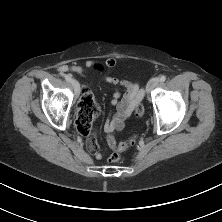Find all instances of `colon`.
Masks as SVG:
<instances>
[{
	"instance_id": "1",
	"label": "colon",
	"mask_w": 222,
	"mask_h": 222,
	"mask_svg": "<svg viewBox=\"0 0 222 222\" xmlns=\"http://www.w3.org/2000/svg\"><path fill=\"white\" fill-rule=\"evenodd\" d=\"M99 106L94 98L93 93L84 89L79 102V109L76 118V128L79 133L83 135L88 134V129L91 126L93 120L99 115ZM136 116L141 117L144 114V107L139 104L135 111ZM136 136L130 139L117 143L112 136H108V144L114 150L109 156L108 161L115 163L120 160V152L133 146L136 143Z\"/></svg>"
}]
</instances>
